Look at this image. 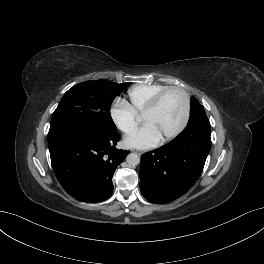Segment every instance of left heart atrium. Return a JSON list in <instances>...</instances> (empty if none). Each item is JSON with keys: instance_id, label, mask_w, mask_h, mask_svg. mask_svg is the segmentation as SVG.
<instances>
[{"instance_id": "1", "label": "left heart atrium", "mask_w": 264, "mask_h": 264, "mask_svg": "<svg viewBox=\"0 0 264 264\" xmlns=\"http://www.w3.org/2000/svg\"><path fill=\"white\" fill-rule=\"evenodd\" d=\"M162 137L153 125L145 123L140 129L124 139L129 148L147 149L156 146Z\"/></svg>"}]
</instances>
